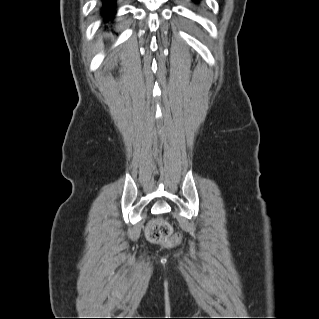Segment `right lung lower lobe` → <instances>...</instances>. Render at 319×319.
Masks as SVG:
<instances>
[{
  "label": "right lung lower lobe",
  "instance_id": "98d812e1",
  "mask_svg": "<svg viewBox=\"0 0 319 319\" xmlns=\"http://www.w3.org/2000/svg\"><path fill=\"white\" fill-rule=\"evenodd\" d=\"M102 15L104 16L105 20L112 19L115 14V2L116 0H102Z\"/></svg>",
  "mask_w": 319,
  "mask_h": 319
}]
</instances>
